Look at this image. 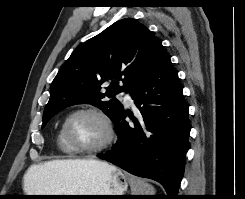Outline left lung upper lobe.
Here are the masks:
<instances>
[{
  "label": "left lung upper lobe",
  "instance_id": "obj_1",
  "mask_svg": "<svg viewBox=\"0 0 245 199\" xmlns=\"http://www.w3.org/2000/svg\"><path fill=\"white\" fill-rule=\"evenodd\" d=\"M163 49L161 41L132 18L115 22L81 44L51 84L42 128L55 114L75 104L97 106L114 121L123 110L115 95L130 92ZM102 84L109 85L106 92L102 91ZM106 97L110 99L105 101Z\"/></svg>",
  "mask_w": 245,
  "mask_h": 199
}]
</instances>
